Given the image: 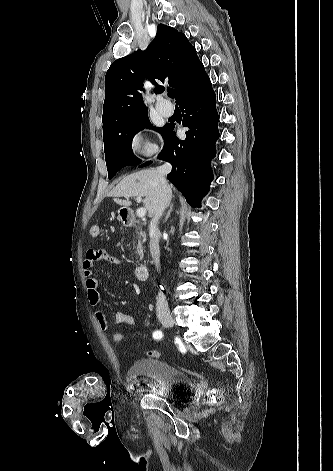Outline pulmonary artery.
<instances>
[{
	"instance_id": "obj_1",
	"label": "pulmonary artery",
	"mask_w": 333,
	"mask_h": 471,
	"mask_svg": "<svg viewBox=\"0 0 333 471\" xmlns=\"http://www.w3.org/2000/svg\"><path fill=\"white\" fill-rule=\"evenodd\" d=\"M156 109L163 116H170L174 111L172 104L165 99L158 100L156 103Z\"/></svg>"
}]
</instances>
